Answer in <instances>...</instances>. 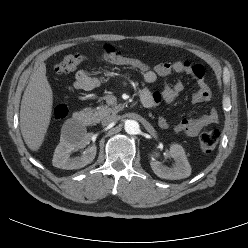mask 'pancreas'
I'll use <instances>...</instances> for the list:
<instances>
[{
    "label": "pancreas",
    "instance_id": "1",
    "mask_svg": "<svg viewBox=\"0 0 248 248\" xmlns=\"http://www.w3.org/2000/svg\"><path fill=\"white\" fill-rule=\"evenodd\" d=\"M122 109V106L115 105L114 107H109L108 105H102L95 109H88L92 112V116L95 120H101L106 116H109L110 114H116Z\"/></svg>",
    "mask_w": 248,
    "mask_h": 248
}]
</instances>
